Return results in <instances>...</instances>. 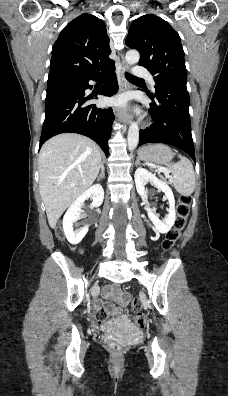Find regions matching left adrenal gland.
I'll return each mask as SVG.
<instances>
[{
	"mask_svg": "<svg viewBox=\"0 0 228 396\" xmlns=\"http://www.w3.org/2000/svg\"><path fill=\"white\" fill-rule=\"evenodd\" d=\"M138 165H141V162H140L139 158L136 161V166H138Z\"/></svg>",
	"mask_w": 228,
	"mask_h": 396,
	"instance_id": "obj_1",
	"label": "left adrenal gland"
}]
</instances>
